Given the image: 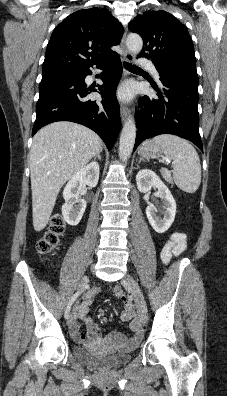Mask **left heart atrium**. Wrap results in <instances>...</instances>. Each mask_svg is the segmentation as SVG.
I'll use <instances>...</instances> for the list:
<instances>
[{
  "label": "left heart atrium",
  "mask_w": 227,
  "mask_h": 396,
  "mask_svg": "<svg viewBox=\"0 0 227 396\" xmlns=\"http://www.w3.org/2000/svg\"><path fill=\"white\" fill-rule=\"evenodd\" d=\"M118 95L123 100H129L133 95V89L130 85H124L120 88Z\"/></svg>",
  "instance_id": "obj_1"
}]
</instances>
